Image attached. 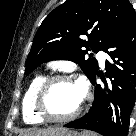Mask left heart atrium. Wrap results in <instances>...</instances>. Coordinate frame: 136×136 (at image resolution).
I'll use <instances>...</instances> for the list:
<instances>
[{"mask_svg": "<svg viewBox=\"0 0 136 136\" xmlns=\"http://www.w3.org/2000/svg\"><path fill=\"white\" fill-rule=\"evenodd\" d=\"M77 86H78L80 97L82 99L84 97L85 91H86L85 84L82 81H80L77 83Z\"/></svg>", "mask_w": 136, "mask_h": 136, "instance_id": "obj_1", "label": "left heart atrium"}]
</instances>
